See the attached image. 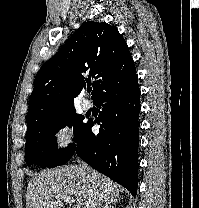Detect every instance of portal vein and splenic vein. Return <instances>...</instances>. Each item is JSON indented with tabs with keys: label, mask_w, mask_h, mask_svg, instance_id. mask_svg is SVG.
<instances>
[{
	"label": "portal vein and splenic vein",
	"mask_w": 199,
	"mask_h": 208,
	"mask_svg": "<svg viewBox=\"0 0 199 208\" xmlns=\"http://www.w3.org/2000/svg\"><path fill=\"white\" fill-rule=\"evenodd\" d=\"M64 201L69 203V204H72V203L75 202V200L73 198H71V197H65ZM73 208H79V207L77 206V207H73Z\"/></svg>",
	"instance_id": "portal-vein-and-splenic-vein-1"
}]
</instances>
